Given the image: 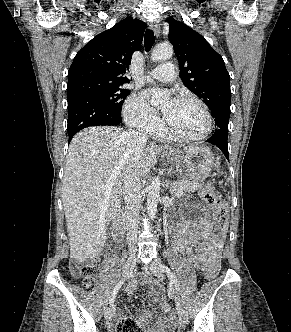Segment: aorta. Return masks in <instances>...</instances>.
I'll use <instances>...</instances> for the list:
<instances>
[{
	"label": "aorta",
	"mask_w": 291,
	"mask_h": 332,
	"mask_svg": "<svg viewBox=\"0 0 291 332\" xmlns=\"http://www.w3.org/2000/svg\"><path fill=\"white\" fill-rule=\"evenodd\" d=\"M173 55V47L170 44H159L157 45L152 53V61L168 60ZM165 98L160 96H153L151 98L152 105H159ZM161 182L158 177L154 178L148 186V197H147V212L150 218L154 219L157 212V204L160 198Z\"/></svg>",
	"instance_id": "762f6f07"
}]
</instances>
